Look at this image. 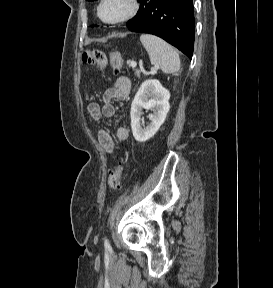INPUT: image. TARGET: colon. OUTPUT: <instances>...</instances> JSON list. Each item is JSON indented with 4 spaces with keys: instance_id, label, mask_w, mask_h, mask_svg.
Here are the masks:
<instances>
[{
    "instance_id": "obj_1",
    "label": "colon",
    "mask_w": 273,
    "mask_h": 288,
    "mask_svg": "<svg viewBox=\"0 0 273 288\" xmlns=\"http://www.w3.org/2000/svg\"><path fill=\"white\" fill-rule=\"evenodd\" d=\"M83 61L88 64L96 65L102 69L106 65V57L102 51L92 50L83 54ZM110 63L114 69H120L123 64V58L117 51L111 52ZM123 177V166L118 165L109 173L108 186L111 191L119 190Z\"/></svg>"
}]
</instances>
